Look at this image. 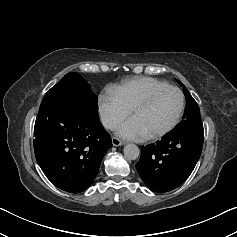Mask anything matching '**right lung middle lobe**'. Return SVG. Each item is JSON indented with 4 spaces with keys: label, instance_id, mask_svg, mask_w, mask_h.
Masks as SVG:
<instances>
[{
    "label": "right lung middle lobe",
    "instance_id": "right-lung-middle-lobe-1",
    "mask_svg": "<svg viewBox=\"0 0 237 237\" xmlns=\"http://www.w3.org/2000/svg\"><path fill=\"white\" fill-rule=\"evenodd\" d=\"M49 92L62 97L66 103L81 111L92 114L98 111L97 96L92 92L90 85L78 74H66Z\"/></svg>",
    "mask_w": 237,
    "mask_h": 237
}]
</instances>
